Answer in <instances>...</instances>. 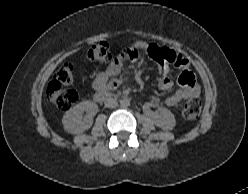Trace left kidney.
Wrapping results in <instances>:
<instances>
[{
  "instance_id": "left-kidney-1",
  "label": "left kidney",
  "mask_w": 248,
  "mask_h": 194,
  "mask_svg": "<svg viewBox=\"0 0 248 194\" xmlns=\"http://www.w3.org/2000/svg\"><path fill=\"white\" fill-rule=\"evenodd\" d=\"M154 124L163 130H172L175 126L174 115L168 109H162L154 116Z\"/></svg>"
}]
</instances>
